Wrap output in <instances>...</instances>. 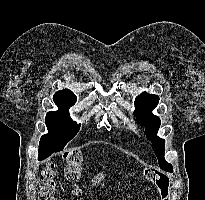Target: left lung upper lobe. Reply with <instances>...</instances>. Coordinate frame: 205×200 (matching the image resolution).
I'll return each instance as SVG.
<instances>
[{"instance_id": "obj_1", "label": "left lung upper lobe", "mask_w": 205, "mask_h": 200, "mask_svg": "<svg viewBox=\"0 0 205 200\" xmlns=\"http://www.w3.org/2000/svg\"><path fill=\"white\" fill-rule=\"evenodd\" d=\"M158 102L159 97L157 95L144 92L135 99L134 114L138 122L146 128L145 133L152 142V147L158 158L160 168L170 171L173 170V167L164 158L165 140L157 136V131L160 127V119L152 114V110L158 105Z\"/></svg>"}]
</instances>
